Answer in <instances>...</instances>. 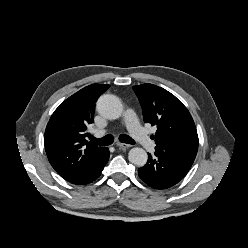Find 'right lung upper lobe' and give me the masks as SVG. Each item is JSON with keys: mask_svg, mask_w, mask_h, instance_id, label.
Masks as SVG:
<instances>
[{"mask_svg": "<svg viewBox=\"0 0 248 248\" xmlns=\"http://www.w3.org/2000/svg\"><path fill=\"white\" fill-rule=\"evenodd\" d=\"M109 85L92 84L76 92L52 114L44 136L45 150L54 170L66 181L81 177L106 149L87 142L95 103Z\"/></svg>", "mask_w": 248, "mask_h": 248, "instance_id": "right-lung-upper-lobe-1", "label": "right lung upper lobe"}]
</instances>
